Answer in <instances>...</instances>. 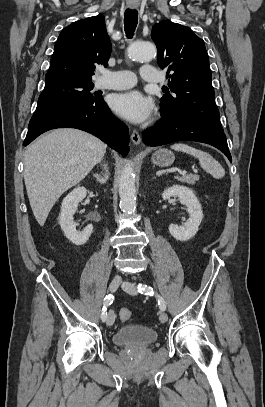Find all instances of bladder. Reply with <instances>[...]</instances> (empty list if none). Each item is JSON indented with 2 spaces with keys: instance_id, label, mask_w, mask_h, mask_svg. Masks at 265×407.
I'll return each instance as SVG.
<instances>
[{
  "instance_id": "1",
  "label": "bladder",
  "mask_w": 265,
  "mask_h": 407,
  "mask_svg": "<svg viewBox=\"0 0 265 407\" xmlns=\"http://www.w3.org/2000/svg\"><path fill=\"white\" fill-rule=\"evenodd\" d=\"M155 330L141 325H127L120 328L113 336V342L117 345L132 347H145L157 340Z\"/></svg>"
}]
</instances>
